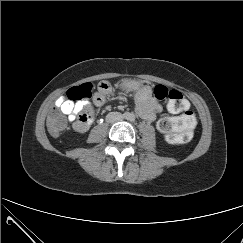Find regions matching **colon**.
<instances>
[{"label":"colon","mask_w":243,"mask_h":243,"mask_svg":"<svg viewBox=\"0 0 243 243\" xmlns=\"http://www.w3.org/2000/svg\"><path fill=\"white\" fill-rule=\"evenodd\" d=\"M94 86L87 82L74 86L67 91V97L70 101L88 102L94 98ZM111 89L107 81H101L97 85V91L107 93ZM154 96L157 99H168L169 111L178 114L174 117L162 118L158 121V130L164 135L170 143H186L190 141L195 127V116L189 110V103L177 90H169L165 86L157 85L154 88ZM92 114L84 111L80 114L74 127L77 130L85 128L91 121ZM65 120L57 112L51 113L47 118V127L53 136H58L65 128Z\"/></svg>","instance_id":"1"}]
</instances>
